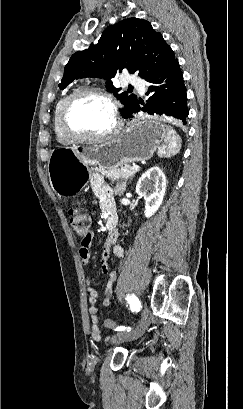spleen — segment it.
Instances as JSON below:
<instances>
[{
  "instance_id": "3e777b00",
  "label": "spleen",
  "mask_w": 243,
  "mask_h": 409,
  "mask_svg": "<svg viewBox=\"0 0 243 409\" xmlns=\"http://www.w3.org/2000/svg\"><path fill=\"white\" fill-rule=\"evenodd\" d=\"M180 137L171 126H166L164 143L158 149L159 157H170L177 154L180 150Z\"/></svg>"
}]
</instances>
